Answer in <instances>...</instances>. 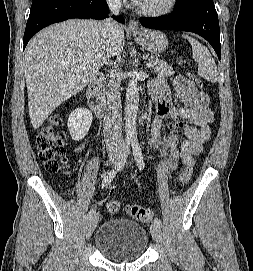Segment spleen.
<instances>
[{
    "mask_svg": "<svg viewBox=\"0 0 253 271\" xmlns=\"http://www.w3.org/2000/svg\"><path fill=\"white\" fill-rule=\"evenodd\" d=\"M183 37L192 46L193 59L198 64V74L212 83L216 82L218 75L217 67L208 49L189 35H183Z\"/></svg>",
    "mask_w": 253,
    "mask_h": 271,
    "instance_id": "obj_1",
    "label": "spleen"
}]
</instances>
